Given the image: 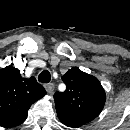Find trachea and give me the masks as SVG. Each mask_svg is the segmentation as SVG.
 Here are the masks:
<instances>
[{
    "mask_svg": "<svg viewBox=\"0 0 130 130\" xmlns=\"http://www.w3.org/2000/svg\"><path fill=\"white\" fill-rule=\"evenodd\" d=\"M38 80L42 83H49L51 80L50 72L48 70L42 71L38 76Z\"/></svg>",
    "mask_w": 130,
    "mask_h": 130,
    "instance_id": "obj_1",
    "label": "trachea"
}]
</instances>
